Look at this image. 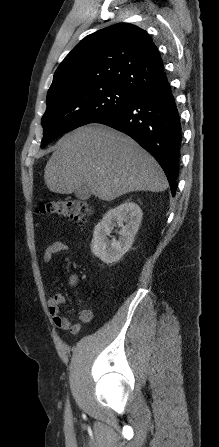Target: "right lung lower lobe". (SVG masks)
Wrapping results in <instances>:
<instances>
[{
  "label": "right lung lower lobe",
  "instance_id": "right-lung-lower-lobe-1",
  "mask_svg": "<svg viewBox=\"0 0 219 447\" xmlns=\"http://www.w3.org/2000/svg\"><path fill=\"white\" fill-rule=\"evenodd\" d=\"M93 123L119 130L147 150L164 170L172 195H175L182 128L168 80Z\"/></svg>",
  "mask_w": 219,
  "mask_h": 447
}]
</instances>
